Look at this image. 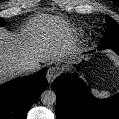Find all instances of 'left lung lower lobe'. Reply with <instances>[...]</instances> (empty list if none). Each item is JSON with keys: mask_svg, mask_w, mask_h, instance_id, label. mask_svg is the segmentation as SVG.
<instances>
[{"mask_svg": "<svg viewBox=\"0 0 119 119\" xmlns=\"http://www.w3.org/2000/svg\"><path fill=\"white\" fill-rule=\"evenodd\" d=\"M109 48L99 45L98 49ZM119 55V46L112 48ZM57 119H119V94L97 99L77 76L64 74L53 82Z\"/></svg>", "mask_w": 119, "mask_h": 119, "instance_id": "0a47b994", "label": "left lung lower lobe"}]
</instances>
